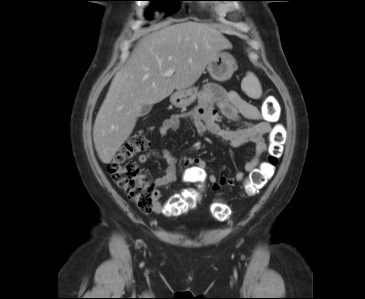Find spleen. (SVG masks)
<instances>
[{
  "mask_svg": "<svg viewBox=\"0 0 365 299\" xmlns=\"http://www.w3.org/2000/svg\"><path fill=\"white\" fill-rule=\"evenodd\" d=\"M242 90L253 99H258L261 97L262 90L258 78L252 73L248 72L246 77L241 83Z\"/></svg>",
  "mask_w": 365,
  "mask_h": 299,
  "instance_id": "3e777b00",
  "label": "spleen"
}]
</instances>
